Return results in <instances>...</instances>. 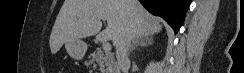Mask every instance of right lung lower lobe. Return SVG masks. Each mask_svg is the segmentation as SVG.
Segmentation results:
<instances>
[{
  "instance_id": "1",
  "label": "right lung lower lobe",
  "mask_w": 244,
  "mask_h": 73,
  "mask_svg": "<svg viewBox=\"0 0 244 73\" xmlns=\"http://www.w3.org/2000/svg\"><path fill=\"white\" fill-rule=\"evenodd\" d=\"M153 15L168 22L175 33L180 29L190 0H139Z\"/></svg>"
}]
</instances>
